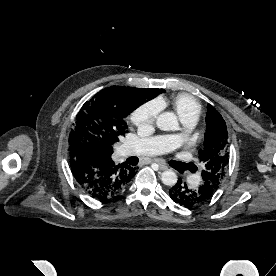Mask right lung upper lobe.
<instances>
[{
    "mask_svg": "<svg viewBox=\"0 0 276 276\" xmlns=\"http://www.w3.org/2000/svg\"><path fill=\"white\" fill-rule=\"evenodd\" d=\"M115 87H118V88H120V89H127V88H129V87H125V86H115ZM149 90H152V91L156 92L157 95L160 94V93H163V91H164L163 89H149ZM157 95H155V96H157ZM155 96H154V97H155ZM151 98H153V97H151ZM149 99H150V98H149ZM112 153H113V152H112ZM112 153L106 154V155L104 156V158H111Z\"/></svg>",
    "mask_w": 276,
    "mask_h": 276,
    "instance_id": "1",
    "label": "right lung upper lobe"
}]
</instances>
